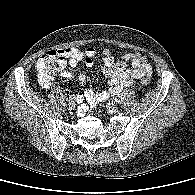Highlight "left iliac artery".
Wrapping results in <instances>:
<instances>
[{
	"label": "left iliac artery",
	"instance_id": "left-iliac-artery-1",
	"mask_svg": "<svg viewBox=\"0 0 195 195\" xmlns=\"http://www.w3.org/2000/svg\"><path fill=\"white\" fill-rule=\"evenodd\" d=\"M114 103H119V100L117 98H115Z\"/></svg>",
	"mask_w": 195,
	"mask_h": 195
}]
</instances>
